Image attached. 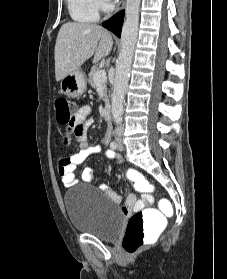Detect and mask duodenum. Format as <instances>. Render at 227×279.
<instances>
[{"instance_id": "410a0bca", "label": "duodenum", "mask_w": 227, "mask_h": 279, "mask_svg": "<svg viewBox=\"0 0 227 279\" xmlns=\"http://www.w3.org/2000/svg\"><path fill=\"white\" fill-rule=\"evenodd\" d=\"M103 115L106 119H110L112 115V108L110 105H106L103 109Z\"/></svg>"}]
</instances>
